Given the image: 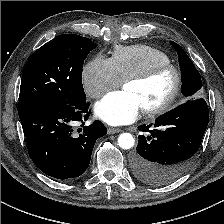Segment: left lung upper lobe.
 <instances>
[{
    "label": "left lung upper lobe",
    "mask_w": 224,
    "mask_h": 224,
    "mask_svg": "<svg viewBox=\"0 0 224 224\" xmlns=\"http://www.w3.org/2000/svg\"><path fill=\"white\" fill-rule=\"evenodd\" d=\"M171 44L177 51L179 65L182 72V94L187 97L188 101L200 98L202 82L198 70L194 67L192 61L181 46L173 41H171Z\"/></svg>",
    "instance_id": "obj_1"
}]
</instances>
